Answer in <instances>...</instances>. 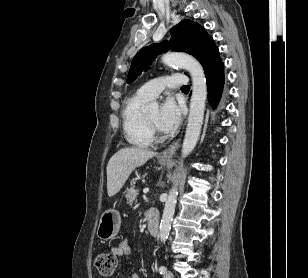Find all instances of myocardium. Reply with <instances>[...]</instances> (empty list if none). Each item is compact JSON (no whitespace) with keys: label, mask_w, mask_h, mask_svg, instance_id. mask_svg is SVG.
Returning <instances> with one entry per match:
<instances>
[{"label":"myocardium","mask_w":308,"mask_h":278,"mask_svg":"<svg viewBox=\"0 0 308 278\" xmlns=\"http://www.w3.org/2000/svg\"><path fill=\"white\" fill-rule=\"evenodd\" d=\"M145 122L148 125L149 129L152 131V133H155L157 131V126L154 125L147 117V115H144Z\"/></svg>","instance_id":"f54148a6"}]
</instances>
